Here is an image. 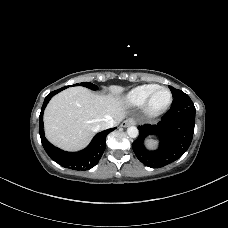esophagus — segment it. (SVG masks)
Returning <instances> with one entry per match:
<instances>
[{"label":"esophagus","instance_id":"esophagus-1","mask_svg":"<svg viewBox=\"0 0 228 228\" xmlns=\"http://www.w3.org/2000/svg\"><path fill=\"white\" fill-rule=\"evenodd\" d=\"M135 124H136L135 120L126 119L121 123V127H128V126L135 125Z\"/></svg>","mask_w":228,"mask_h":228}]
</instances>
